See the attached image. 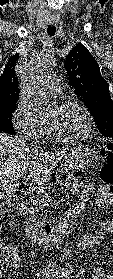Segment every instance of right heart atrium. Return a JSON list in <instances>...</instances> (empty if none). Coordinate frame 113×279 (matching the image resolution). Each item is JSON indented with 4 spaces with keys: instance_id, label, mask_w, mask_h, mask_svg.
<instances>
[{
    "instance_id": "1",
    "label": "right heart atrium",
    "mask_w": 113,
    "mask_h": 279,
    "mask_svg": "<svg viewBox=\"0 0 113 279\" xmlns=\"http://www.w3.org/2000/svg\"><path fill=\"white\" fill-rule=\"evenodd\" d=\"M16 132L28 141H38L46 134L47 128L43 121L30 109L23 97H20L11 117Z\"/></svg>"
}]
</instances>
